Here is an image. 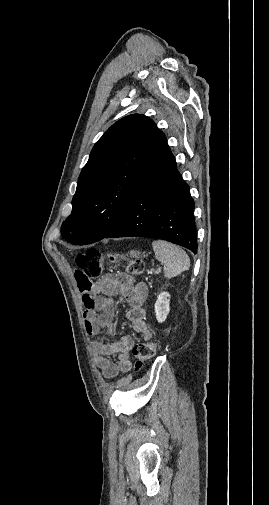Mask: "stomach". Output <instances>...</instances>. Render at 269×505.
<instances>
[{
	"label": "stomach",
	"instance_id": "0dacf381",
	"mask_svg": "<svg viewBox=\"0 0 269 505\" xmlns=\"http://www.w3.org/2000/svg\"><path fill=\"white\" fill-rule=\"evenodd\" d=\"M139 255H140V253H139L138 251H136V250H131V251L129 252V256H130L131 258H138V257H139Z\"/></svg>",
	"mask_w": 269,
	"mask_h": 505
}]
</instances>
